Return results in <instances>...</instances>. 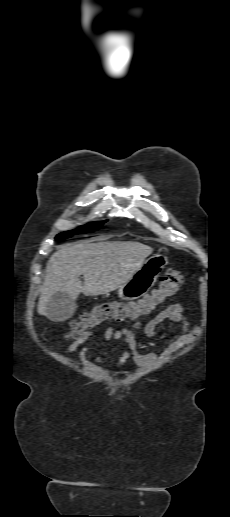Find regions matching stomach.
Segmentation results:
<instances>
[{
    "label": "stomach",
    "mask_w": 230,
    "mask_h": 517,
    "mask_svg": "<svg viewBox=\"0 0 230 517\" xmlns=\"http://www.w3.org/2000/svg\"><path fill=\"white\" fill-rule=\"evenodd\" d=\"M167 263L168 258L163 254L150 256L129 281L119 288V297L123 300H134L145 295L154 285Z\"/></svg>",
    "instance_id": "stomach-1"
}]
</instances>
